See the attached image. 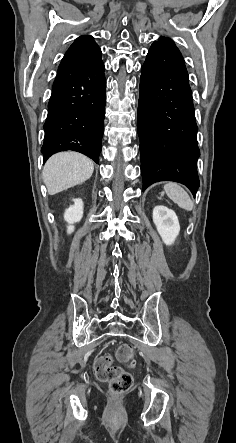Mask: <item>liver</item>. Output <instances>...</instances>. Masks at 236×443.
<instances>
[{
	"label": "liver",
	"instance_id": "liver-1",
	"mask_svg": "<svg viewBox=\"0 0 236 443\" xmlns=\"http://www.w3.org/2000/svg\"><path fill=\"white\" fill-rule=\"evenodd\" d=\"M94 171L93 162L77 152H60L44 165L42 176L49 195H55L88 180Z\"/></svg>",
	"mask_w": 236,
	"mask_h": 443
}]
</instances>
